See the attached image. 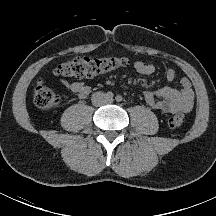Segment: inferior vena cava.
Segmentation results:
<instances>
[{
	"mask_svg": "<svg viewBox=\"0 0 216 216\" xmlns=\"http://www.w3.org/2000/svg\"><path fill=\"white\" fill-rule=\"evenodd\" d=\"M92 104L96 107L108 104L110 102L108 96L104 92H95L91 97Z\"/></svg>",
	"mask_w": 216,
	"mask_h": 216,
	"instance_id": "1",
	"label": "inferior vena cava"
}]
</instances>
